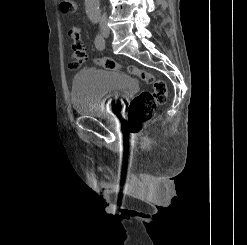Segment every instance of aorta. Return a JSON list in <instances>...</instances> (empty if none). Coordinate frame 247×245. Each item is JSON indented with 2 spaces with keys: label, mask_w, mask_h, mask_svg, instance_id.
Wrapping results in <instances>:
<instances>
[{
  "label": "aorta",
  "mask_w": 247,
  "mask_h": 245,
  "mask_svg": "<svg viewBox=\"0 0 247 245\" xmlns=\"http://www.w3.org/2000/svg\"><path fill=\"white\" fill-rule=\"evenodd\" d=\"M86 13L89 19L96 23L100 19L99 0H85Z\"/></svg>",
  "instance_id": "1"
}]
</instances>
